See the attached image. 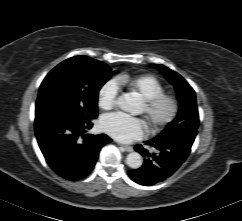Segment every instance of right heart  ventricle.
Segmentation results:
<instances>
[{
  "label": "right heart ventricle",
  "instance_id": "1",
  "mask_svg": "<svg viewBox=\"0 0 242 221\" xmlns=\"http://www.w3.org/2000/svg\"><path fill=\"white\" fill-rule=\"evenodd\" d=\"M115 81L119 87H126L129 91L147 99L164 92L162 83L151 74L129 75L119 74Z\"/></svg>",
  "mask_w": 242,
  "mask_h": 221
}]
</instances>
